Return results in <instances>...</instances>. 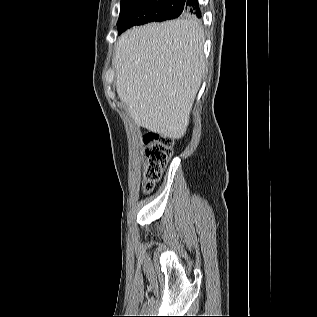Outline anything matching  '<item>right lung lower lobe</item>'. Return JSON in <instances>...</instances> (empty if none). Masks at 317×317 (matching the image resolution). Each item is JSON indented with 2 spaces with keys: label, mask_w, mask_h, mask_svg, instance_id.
I'll return each instance as SVG.
<instances>
[{
  "label": "right lung lower lobe",
  "mask_w": 317,
  "mask_h": 317,
  "mask_svg": "<svg viewBox=\"0 0 317 317\" xmlns=\"http://www.w3.org/2000/svg\"><path fill=\"white\" fill-rule=\"evenodd\" d=\"M178 3L184 12L201 17L198 0H178Z\"/></svg>",
  "instance_id": "1"
}]
</instances>
